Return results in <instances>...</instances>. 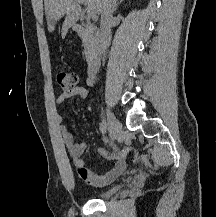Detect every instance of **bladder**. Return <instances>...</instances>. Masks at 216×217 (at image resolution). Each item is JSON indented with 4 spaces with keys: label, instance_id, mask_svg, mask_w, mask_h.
Masks as SVG:
<instances>
[{
    "label": "bladder",
    "instance_id": "31cf9c89",
    "mask_svg": "<svg viewBox=\"0 0 216 217\" xmlns=\"http://www.w3.org/2000/svg\"><path fill=\"white\" fill-rule=\"evenodd\" d=\"M122 188V184L114 185L106 190L98 191L95 196L100 199H108L118 193Z\"/></svg>",
    "mask_w": 216,
    "mask_h": 217
}]
</instances>
